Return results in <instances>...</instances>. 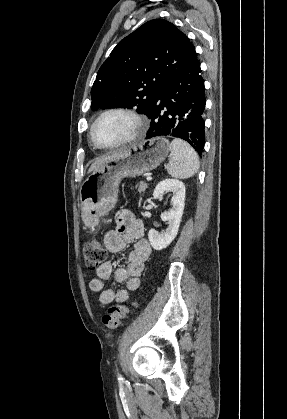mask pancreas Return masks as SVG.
Masks as SVG:
<instances>
[{
  "instance_id": "pancreas-1",
  "label": "pancreas",
  "mask_w": 287,
  "mask_h": 419,
  "mask_svg": "<svg viewBox=\"0 0 287 419\" xmlns=\"http://www.w3.org/2000/svg\"><path fill=\"white\" fill-rule=\"evenodd\" d=\"M136 187H137L138 192H139L140 194H144V192L146 191V189H147V187H148V184H147V183H144V182H141V183H140L139 185H137Z\"/></svg>"
}]
</instances>
